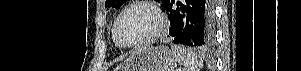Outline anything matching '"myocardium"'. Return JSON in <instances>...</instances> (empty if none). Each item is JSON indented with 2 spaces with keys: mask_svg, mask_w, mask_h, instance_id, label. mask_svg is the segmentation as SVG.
Masks as SVG:
<instances>
[{
  "mask_svg": "<svg viewBox=\"0 0 301 71\" xmlns=\"http://www.w3.org/2000/svg\"><path fill=\"white\" fill-rule=\"evenodd\" d=\"M136 7H141V8H145V9L149 10L155 17L156 26H155L154 30L148 36H146L144 39H142L136 43H132V44L124 43L121 40V38L119 37V31H118L119 24H120L122 17L124 16V14L128 10H130L132 8H136ZM165 28H166V20H165L164 14L156 5H154L153 3L148 2V1H134L130 4H128L127 6H125L120 11V13L118 14V16L115 19L112 33H113L114 40L118 46H120L122 48H127V49H135V48L142 47L144 45L150 44L153 41H155L163 33Z\"/></svg>",
  "mask_w": 301,
  "mask_h": 71,
  "instance_id": "myocardium-1",
  "label": "myocardium"
}]
</instances>
